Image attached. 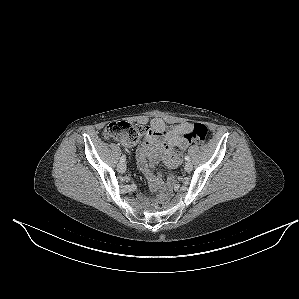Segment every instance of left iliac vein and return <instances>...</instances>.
<instances>
[{"mask_svg":"<svg viewBox=\"0 0 299 299\" xmlns=\"http://www.w3.org/2000/svg\"><path fill=\"white\" fill-rule=\"evenodd\" d=\"M185 171L190 172L192 170V163L191 162H186L184 166Z\"/></svg>","mask_w":299,"mask_h":299,"instance_id":"obj_1","label":"left iliac vein"}]
</instances>
